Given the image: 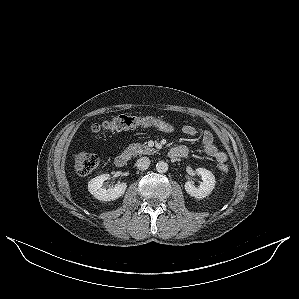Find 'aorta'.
Segmentation results:
<instances>
[{"mask_svg":"<svg viewBox=\"0 0 299 299\" xmlns=\"http://www.w3.org/2000/svg\"><path fill=\"white\" fill-rule=\"evenodd\" d=\"M156 170L160 173H165L168 170V164L164 161H159L156 164Z\"/></svg>","mask_w":299,"mask_h":299,"instance_id":"1","label":"aorta"}]
</instances>
